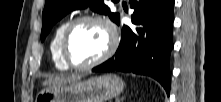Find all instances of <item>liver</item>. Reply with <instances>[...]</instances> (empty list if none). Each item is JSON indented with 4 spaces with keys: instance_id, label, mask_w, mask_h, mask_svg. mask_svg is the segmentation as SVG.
<instances>
[{
    "instance_id": "1",
    "label": "liver",
    "mask_w": 221,
    "mask_h": 102,
    "mask_svg": "<svg viewBox=\"0 0 221 102\" xmlns=\"http://www.w3.org/2000/svg\"><path fill=\"white\" fill-rule=\"evenodd\" d=\"M72 80H74L73 77H57L54 79H49L47 81H45L43 83L44 86H57V85H61V84H65L67 82H71Z\"/></svg>"
}]
</instances>
